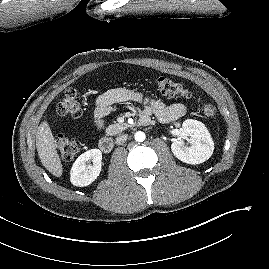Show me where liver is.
<instances>
[{"label": "liver", "instance_id": "6515ba94", "mask_svg": "<svg viewBox=\"0 0 269 269\" xmlns=\"http://www.w3.org/2000/svg\"><path fill=\"white\" fill-rule=\"evenodd\" d=\"M36 148L43 166L54 176L60 177L63 172L56 142L47 121H43L36 133Z\"/></svg>", "mask_w": 269, "mask_h": 269}]
</instances>
